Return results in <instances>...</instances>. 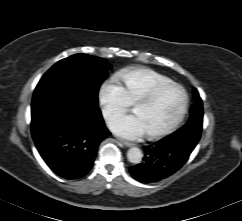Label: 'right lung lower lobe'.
<instances>
[{
	"label": "right lung lower lobe",
	"instance_id": "obj_1",
	"mask_svg": "<svg viewBox=\"0 0 242 221\" xmlns=\"http://www.w3.org/2000/svg\"><path fill=\"white\" fill-rule=\"evenodd\" d=\"M31 132L46 164L66 179L87 174L100 142L110 135L100 109L85 108L72 94L33 105Z\"/></svg>",
	"mask_w": 242,
	"mask_h": 221
}]
</instances>
